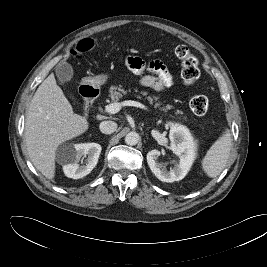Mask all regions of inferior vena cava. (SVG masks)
<instances>
[{
    "mask_svg": "<svg viewBox=\"0 0 267 267\" xmlns=\"http://www.w3.org/2000/svg\"><path fill=\"white\" fill-rule=\"evenodd\" d=\"M100 131L104 134H111L117 129V123L114 121H103L100 123Z\"/></svg>",
    "mask_w": 267,
    "mask_h": 267,
    "instance_id": "obj_1",
    "label": "inferior vena cava"
}]
</instances>
